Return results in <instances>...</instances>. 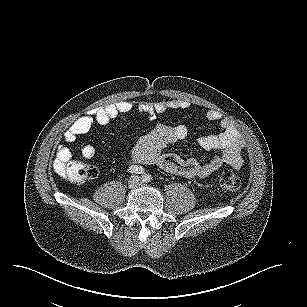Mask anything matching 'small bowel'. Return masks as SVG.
Here are the masks:
<instances>
[{
  "mask_svg": "<svg viewBox=\"0 0 307 307\" xmlns=\"http://www.w3.org/2000/svg\"><path fill=\"white\" fill-rule=\"evenodd\" d=\"M189 105V102L185 100L170 99L157 102H140L136 106L129 101H122L93 109L77 119L68 128L64 135L65 144L60 145L57 149L56 163L68 161L72 158V153L66 144L73 143L78 136L87 133L95 123L106 125L112 119L123 116L133 110L154 118L156 115L163 114L168 110L185 109ZM205 118L210 122L218 121L220 132L200 137L198 144L206 151L220 150V155L214 156L208 162H201L196 159H183L179 156L167 154L164 152L165 148L170 144L185 139L188 130L184 125L170 127L158 124L138 140L127 159V164H152L166 172L187 178H205L223 164L239 170L243 165L242 154L245 147L241 133L228 118L222 117L215 110H208ZM95 153L96 150L92 145H86L82 149V154L87 159L93 158Z\"/></svg>",
  "mask_w": 307,
  "mask_h": 307,
  "instance_id": "1",
  "label": "small bowel"
}]
</instances>
